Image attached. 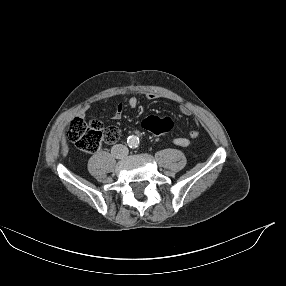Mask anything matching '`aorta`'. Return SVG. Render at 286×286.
Instances as JSON below:
<instances>
[{
	"label": "aorta",
	"mask_w": 286,
	"mask_h": 286,
	"mask_svg": "<svg viewBox=\"0 0 286 286\" xmlns=\"http://www.w3.org/2000/svg\"><path fill=\"white\" fill-rule=\"evenodd\" d=\"M139 138L135 135L129 136L127 139V144L130 148H137L139 146Z\"/></svg>",
	"instance_id": "1"
}]
</instances>
